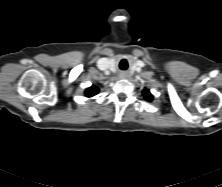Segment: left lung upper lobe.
Returning a JSON list of instances; mask_svg holds the SVG:
<instances>
[{"label": "left lung upper lobe", "instance_id": "left-lung-upper-lobe-1", "mask_svg": "<svg viewBox=\"0 0 222 187\" xmlns=\"http://www.w3.org/2000/svg\"><path fill=\"white\" fill-rule=\"evenodd\" d=\"M144 98L147 100V101H152L153 100V96L152 94L150 93V91L148 89H144L143 92H142Z\"/></svg>", "mask_w": 222, "mask_h": 187}]
</instances>
